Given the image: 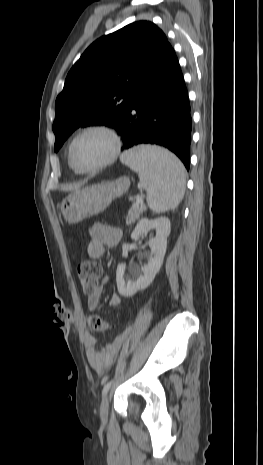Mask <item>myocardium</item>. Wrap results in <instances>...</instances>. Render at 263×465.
Here are the masks:
<instances>
[{
	"label": "myocardium",
	"instance_id": "obj_1",
	"mask_svg": "<svg viewBox=\"0 0 263 465\" xmlns=\"http://www.w3.org/2000/svg\"><path fill=\"white\" fill-rule=\"evenodd\" d=\"M92 131H100V132L107 134L112 140L113 148H112V152L109 155V157L105 159L103 162H101L99 165H97L96 167L90 168V169H83L79 167L74 161L73 147H74L75 142L78 140V138ZM121 148H122V139L118 131L115 128L109 125H106V124H92V125H88L80 129L70 141L69 146H68V161H69L70 166L75 172L80 173V174H94L108 167L112 163H114L117 160L121 152Z\"/></svg>",
	"mask_w": 263,
	"mask_h": 465
}]
</instances>
